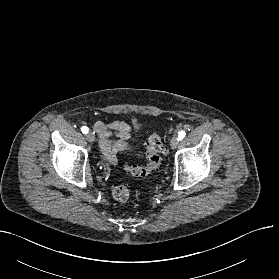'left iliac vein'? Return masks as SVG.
I'll return each mask as SVG.
<instances>
[{
    "instance_id": "1",
    "label": "left iliac vein",
    "mask_w": 279,
    "mask_h": 279,
    "mask_svg": "<svg viewBox=\"0 0 279 279\" xmlns=\"http://www.w3.org/2000/svg\"><path fill=\"white\" fill-rule=\"evenodd\" d=\"M178 143H179L178 138L173 137L170 141L171 148L175 149L178 146Z\"/></svg>"
}]
</instances>
